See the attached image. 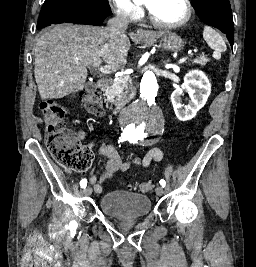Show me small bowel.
Segmentation results:
<instances>
[{
    "label": "small bowel",
    "mask_w": 256,
    "mask_h": 267,
    "mask_svg": "<svg viewBox=\"0 0 256 267\" xmlns=\"http://www.w3.org/2000/svg\"><path fill=\"white\" fill-rule=\"evenodd\" d=\"M80 141L84 140L83 136L79 137ZM97 152L106 159V164L99 176L93 175L90 179L94 190L97 193L102 192L103 183L111 181L118 171L127 170L132 164H138L147 167L153 161H161L163 153L158 148L149 149L142 158H135L131 161L123 162L119 154L109 145L102 144L98 147Z\"/></svg>",
    "instance_id": "obj_1"
}]
</instances>
